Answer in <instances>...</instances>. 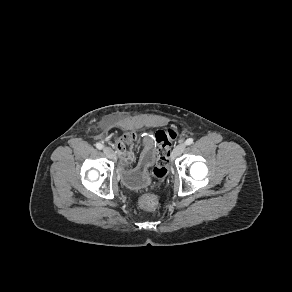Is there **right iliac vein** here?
<instances>
[{"label":"right iliac vein","instance_id":"1","mask_svg":"<svg viewBox=\"0 0 292 292\" xmlns=\"http://www.w3.org/2000/svg\"><path fill=\"white\" fill-rule=\"evenodd\" d=\"M103 151L106 154V156L109 157L110 159H114L115 158L114 151L110 147H104Z\"/></svg>","mask_w":292,"mask_h":292}]
</instances>
